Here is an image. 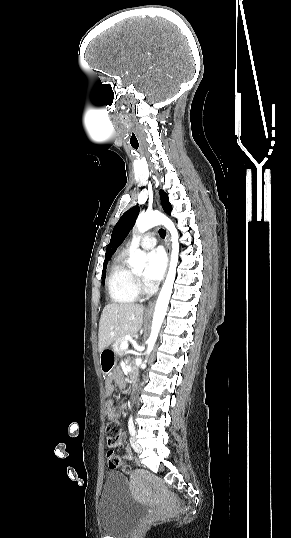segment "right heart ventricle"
<instances>
[{"label": "right heart ventricle", "mask_w": 291, "mask_h": 538, "mask_svg": "<svg viewBox=\"0 0 291 538\" xmlns=\"http://www.w3.org/2000/svg\"><path fill=\"white\" fill-rule=\"evenodd\" d=\"M128 250H122L114 257L107 279V289L110 299L116 304L133 303L138 298L133 281V272L128 267L126 259Z\"/></svg>", "instance_id": "e07e8e85"}]
</instances>
